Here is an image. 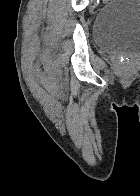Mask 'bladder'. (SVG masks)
Here are the masks:
<instances>
[{
	"mask_svg": "<svg viewBox=\"0 0 140 196\" xmlns=\"http://www.w3.org/2000/svg\"><path fill=\"white\" fill-rule=\"evenodd\" d=\"M93 31L103 51L140 54V0H112L98 11Z\"/></svg>",
	"mask_w": 140,
	"mask_h": 196,
	"instance_id": "31cf9c89",
	"label": "bladder"
}]
</instances>
